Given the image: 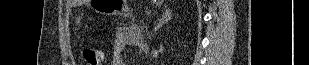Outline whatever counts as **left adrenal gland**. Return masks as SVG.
<instances>
[{
	"mask_svg": "<svg viewBox=\"0 0 309 65\" xmlns=\"http://www.w3.org/2000/svg\"><path fill=\"white\" fill-rule=\"evenodd\" d=\"M172 13L170 9H166L165 13L163 14L162 18L159 20L157 25L154 28V32H156L160 27H162L165 23H168V21L171 19Z\"/></svg>",
	"mask_w": 309,
	"mask_h": 65,
	"instance_id": "a2214340",
	"label": "left adrenal gland"
}]
</instances>
